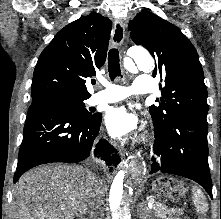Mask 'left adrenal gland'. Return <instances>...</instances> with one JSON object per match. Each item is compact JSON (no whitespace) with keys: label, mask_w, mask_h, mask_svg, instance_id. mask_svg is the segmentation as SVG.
Instances as JSON below:
<instances>
[{"label":"left adrenal gland","mask_w":221,"mask_h":219,"mask_svg":"<svg viewBox=\"0 0 221 219\" xmlns=\"http://www.w3.org/2000/svg\"><path fill=\"white\" fill-rule=\"evenodd\" d=\"M142 206L140 205L137 212L139 213L140 219H147L149 217V210L143 209L145 212L141 211Z\"/></svg>","instance_id":"left-adrenal-gland-1"}]
</instances>
